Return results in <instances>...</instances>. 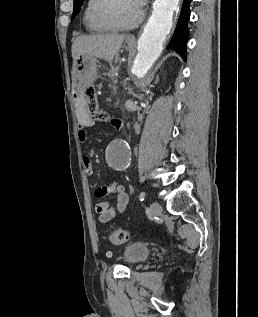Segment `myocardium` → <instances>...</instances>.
Wrapping results in <instances>:
<instances>
[{"mask_svg":"<svg viewBox=\"0 0 258 317\" xmlns=\"http://www.w3.org/2000/svg\"><path fill=\"white\" fill-rule=\"evenodd\" d=\"M121 2H129L133 4L137 9V19L131 27L123 28L118 26L109 15L110 10ZM95 17L101 24L110 28L111 30L117 32H125L134 30L139 26V24L143 20L144 12L136 0H102L95 9Z\"/></svg>","mask_w":258,"mask_h":317,"instance_id":"f54148a6","label":"myocardium"}]
</instances>
